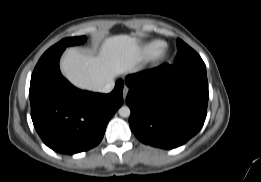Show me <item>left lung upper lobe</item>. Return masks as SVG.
<instances>
[{"mask_svg":"<svg viewBox=\"0 0 261 182\" xmlns=\"http://www.w3.org/2000/svg\"><path fill=\"white\" fill-rule=\"evenodd\" d=\"M178 44V53L175 57L173 65L175 66H184V65H202L204 66V62L191 47H189L182 40H177Z\"/></svg>","mask_w":261,"mask_h":182,"instance_id":"left-lung-upper-lobe-1","label":"left lung upper lobe"}]
</instances>
